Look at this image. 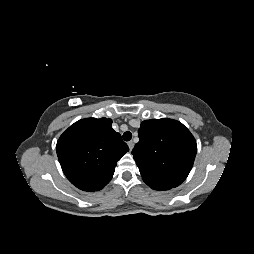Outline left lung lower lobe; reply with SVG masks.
<instances>
[{
  "label": "left lung lower lobe",
  "instance_id": "obj_1",
  "mask_svg": "<svg viewBox=\"0 0 254 254\" xmlns=\"http://www.w3.org/2000/svg\"><path fill=\"white\" fill-rule=\"evenodd\" d=\"M147 185H149L152 189H155V190H169V189H171V187H167V186L153 185V184H147Z\"/></svg>",
  "mask_w": 254,
  "mask_h": 254
}]
</instances>
